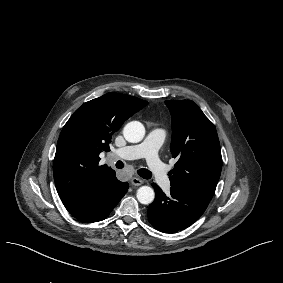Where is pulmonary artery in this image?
<instances>
[{
	"instance_id": "e3ab8cb5",
	"label": "pulmonary artery",
	"mask_w": 283,
	"mask_h": 283,
	"mask_svg": "<svg viewBox=\"0 0 283 283\" xmlns=\"http://www.w3.org/2000/svg\"><path fill=\"white\" fill-rule=\"evenodd\" d=\"M164 137L165 132L163 130L154 128L148 132L141 143L120 148L118 155L128 159H139L143 156L148 169L152 173V178L158 184V187L161 190H168L171 187V180L165 173L164 166L157 155L158 148Z\"/></svg>"
}]
</instances>
